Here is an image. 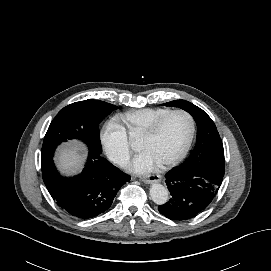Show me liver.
Listing matches in <instances>:
<instances>
[{
	"label": "liver",
	"instance_id": "obj_1",
	"mask_svg": "<svg viewBox=\"0 0 271 271\" xmlns=\"http://www.w3.org/2000/svg\"><path fill=\"white\" fill-rule=\"evenodd\" d=\"M85 159V148L78 142H71L61 147L56 157L60 171L67 175L80 171L83 168Z\"/></svg>",
	"mask_w": 271,
	"mask_h": 271
}]
</instances>
